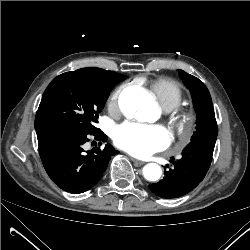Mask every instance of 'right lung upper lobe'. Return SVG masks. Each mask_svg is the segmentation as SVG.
Listing matches in <instances>:
<instances>
[{"mask_svg": "<svg viewBox=\"0 0 250 250\" xmlns=\"http://www.w3.org/2000/svg\"><path fill=\"white\" fill-rule=\"evenodd\" d=\"M73 72L106 73V72H110V71H106V70H103V69L91 67V68H82V69H79V70H76V71H73Z\"/></svg>", "mask_w": 250, "mask_h": 250, "instance_id": "obj_1", "label": "right lung upper lobe"}]
</instances>
